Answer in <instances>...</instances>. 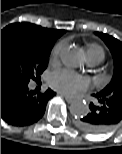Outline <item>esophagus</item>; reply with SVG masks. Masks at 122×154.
I'll list each match as a JSON object with an SVG mask.
<instances>
[{
  "mask_svg": "<svg viewBox=\"0 0 122 154\" xmlns=\"http://www.w3.org/2000/svg\"><path fill=\"white\" fill-rule=\"evenodd\" d=\"M59 94L61 96H63L68 103H72L74 101V98H72V97L66 96V95L61 94V93H59Z\"/></svg>",
  "mask_w": 122,
  "mask_h": 154,
  "instance_id": "1",
  "label": "esophagus"
}]
</instances>
